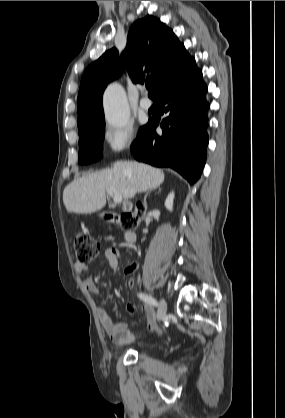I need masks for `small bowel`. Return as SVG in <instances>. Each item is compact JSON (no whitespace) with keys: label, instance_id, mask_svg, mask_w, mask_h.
<instances>
[{"label":"small bowel","instance_id":"small-bowel-1","mask_svg":"<svg viewBox=\"0 0 285 418\" xmlns=\"http://www.w3.org/2000/svg\"><path fill=\"white\" fill-rule=\"evenodd\" d=\"M104 257L108 260L109 265L111 268L116 269L120 265V255L119 251L116 248H108L104 251ZM87 265L82 263L75 264V270L83 275V283L86 289L91 293H97L98 288L93 281V278L90 274L87 273ZM137 269L136 263H128L124 267V273L126 276H131L135 270ZM128 285H133V280H128ZM125 310L131 312L134 310V306L127 305ZM145 317L146 320L151 323L153 321V310L149 307H144ZM99 317L101 319L102 326L110 337L111 341L115 345H123L126 343H131L136 340V338L131 334L128 329L127 322L124 320L113 322L108 316H106L103 312L99 313ZM154 333H160V330H154Z\"/></svg>","mask_w":285,"mask_h":418}]
</instances>
